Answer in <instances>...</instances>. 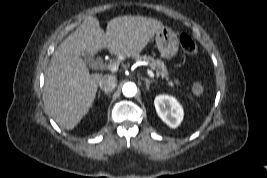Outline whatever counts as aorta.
I'll return each mask as SVG.
<instances>
[{"label": "aorta", "instance_id": "obj_1", "mask_svg": "<svg viewBox=\"0 0 267 178\" xmlns=\"http://www.w3.org/2000/svg\"><path fill=\"white\" fill-rule=\"evenodd\" d=\"M122 93L125 97H133L137 93V86L133 82H127L122 87Z\"/></svg>", "mask_w": 267, "mask_h": 178}]
</instances>
